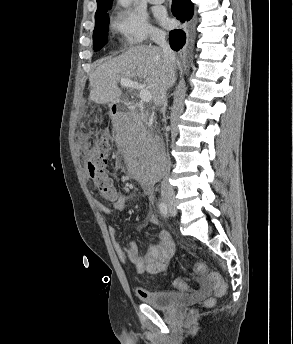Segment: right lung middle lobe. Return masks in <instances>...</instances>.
<instances>
[{
  "mask_svg": "<svg viewBox=\"0 0 293 344\" xmlns=\"http://www.w3.org/2000/svg\"><path fill=\"white\" fill-rule=\"evenodd\" d=\"M109 5L101 10L96 11L95 14V29L93 31V46L94 50H100L107 43L109 17L107 11L111 9Z\"/></svg>",
  "mask_w": 293,
  "mask_h": 344,
  "instance_id": "right-lung-middle-lobe-1",
  "label": "right lung middle lobe"
}]
</instances>
